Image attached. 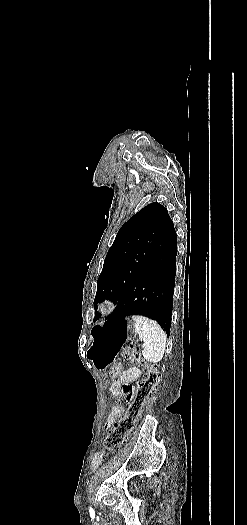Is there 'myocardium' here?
<instances>
[{"instance_id": "1", "label": "myocardium", "mask_w": 247, "mask_h": 525, "mask_svg": "<svg viewBox=\"0 0 247 525\" xmlns=\"http://www.w3.org/2000/svg\"><path fill=\"white\" fill-rule=\"evenodd\" d=\"M115 301L112 298H106L100 301L98 307L101 311H105L114 307Z\"/></svg>"}]
</instances>
